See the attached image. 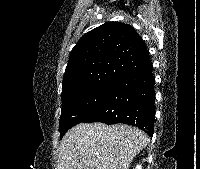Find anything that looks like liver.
<instances>
[{"label": "liver", "mask_w": 200, "mask_h": 169, "mask_svg": "<svg viewBox=\"0 0 200 169\" xmlns=\"http://www.w3.org/2000/svg\"><path fill=\"white\" fill-rule=\"evenodd\" d=\"M148 141L142 130L129 125L81 123L63 137L57 169H129Z\"/></svg>", "instance_id": "obj_1"}]
</instances>
